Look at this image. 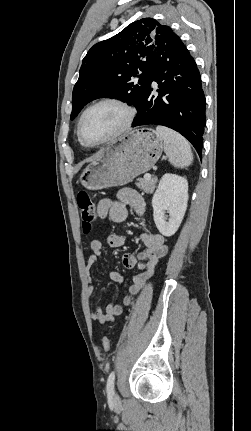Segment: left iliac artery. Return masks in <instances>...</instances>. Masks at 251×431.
<instances>
[{
	"label": "left iliac artery",
	"mask_w": 251,
	"mask_h": 431,
	"mask_svg": "<svg viewBox=\"0 0 251 431\" xmlns=\"http://www.w3.org/2000/svg\"><path fill=\"white\" fill-rule=\"evenodd\" d=\"M114 381H115V373L112 371L107 379L106 390L108 395H114Z\"/></svg>",
	"instance_id": "obj_1"
}]
</instances>
